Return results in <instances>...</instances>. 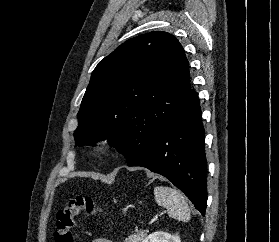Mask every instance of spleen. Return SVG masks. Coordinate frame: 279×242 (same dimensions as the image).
<instances>
[{"mask_svg": "<svg viewBox=\"0 0 279 242\" xmlns=\"http://www.w3.org/2000/svg\"><path fill=\"white\" fill-rule=\"evenodd\" d=\"M154 196L158 205L167 209L170 217L183 222L189 221L190 210L180 191L170 187L156 186Z\"/></svg>", "mask_w": 279, "mask_h": 242, "instance_id": "1", "label": "spleen"}]
</instances>
